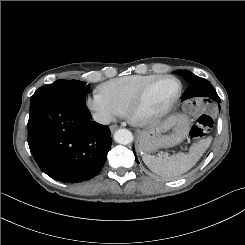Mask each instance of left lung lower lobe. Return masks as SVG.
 <instances>
[{
	"mask_svg": "<svg viewBox=\"0 0 245 245\" xmlns=\"http://www.w3.org/2000/svg\"><path fill=\"white\" fill-rule=\"evenodd\" d=\"M211 99H213V100H215L216 102L220 103V98H219L218 95H214ZM133 152H135L134 149H133ZM135 159H136V162L138 163V160H137L136 155H135Z\"/></svg>",
	"mask_w": 245,
	"mask_h": 245,
	"instance_id": "1",
	"label": "left lung lower lobe"
}]
</instances>
